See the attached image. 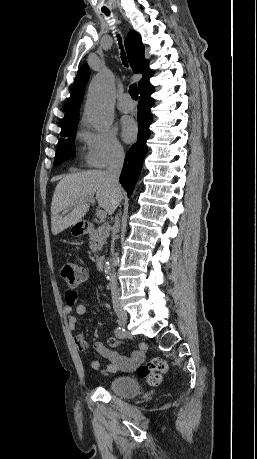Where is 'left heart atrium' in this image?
Here are the masks:
<instances>
[{"label": "left heart atrium", "instance_id": "1", "mask_svg": "<svg viewBox=\"0 0 257 459\" xmlns=\"http://www.w3.org/2000/svg\"><path fill=\"white\" fill-rule=\"evenodd\" d=\"M122 137L126 142H131L137 135V124L132 118H124L121 123Z\"/></svg>", "mask_w": 257, "mask_h": 459}]
</instances>
